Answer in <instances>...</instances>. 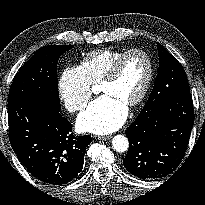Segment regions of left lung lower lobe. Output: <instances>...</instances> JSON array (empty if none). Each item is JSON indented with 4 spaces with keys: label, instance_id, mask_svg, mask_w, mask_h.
I'll return each instance as SVG.
<instances>
[{
    "label": "left lung lower lobe",
    "instance_id": "0a47b994",
    "mask_svg": "<svg viewBox=\"0 0 205 205\" xmlns=\"http://www.w3.org/2000/svg\"><path fill=\"white\" fill-rule=\"evenodd\" d=\"M194 123L190 93H180L153 110H142L125 131L130 146L123 164L141 179L170 174L184 156Z\"/></svg>",
    "mask_w": 205,
    "mask_h": 205
}]
</instances>
